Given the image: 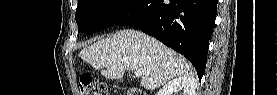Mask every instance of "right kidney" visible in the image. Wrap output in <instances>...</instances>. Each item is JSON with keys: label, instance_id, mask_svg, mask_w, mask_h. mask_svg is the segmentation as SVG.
<instances>
[{"label": "right kidney", "instance_id": "ca27d5eb", "mask_svg": "<svg viewBox=\"0 0 277 95\" xmlns=\"http://www.w3.org/2000/svg\"><path fill=\"white\" fill-rule=\"evenodd\" d=\"M184 88V95H195L196 80L189 76L175 78L161 88L157 95H172L179 88Z\"/></svg>", "mask_w": 277, "mask_h": 95}]
</instances>
